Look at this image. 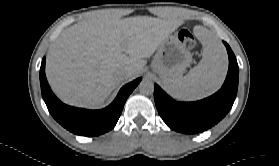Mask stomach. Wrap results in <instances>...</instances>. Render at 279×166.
<instances>
[{"label": "stomach", "mask_w": 279, "mask_h": 166, "mask_svg": "<svg viewBox=\"0 0 279 166\" xmlns=\"http://www.w3.org/2000/svg\"><path fill=\"white\" fill-rule=\"evenodd\" d=\"M191 62L189 50L176 36L171 35L159 45L152 68L164 82L180 78Z\"/></svg>", "instance_id": "0dacf381"}]
</instances>
